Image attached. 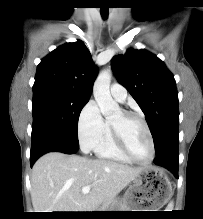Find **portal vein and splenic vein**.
<instances>
[{"mask_svg": "<svg viewBox=\"0 0 203 219\" xmlns=\"http://www.w3.org/2000/svg\"><path fill=\"white\" fill-rule=\"evenodd\" d=\"M90 189H91V186H84V187L82 188V193H83V194H87V193L90 192Z\"/></svg>", "mask_w": 203, "mask_h": 219, "instance_id": "obj_1", "label": "portal vein and splenic vein"}]
</instances>
